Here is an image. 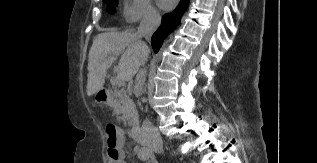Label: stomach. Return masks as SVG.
Here are the masks:
<instances>
[{
    "mask_svg": "<svg viewBox=\"0 0 317 163\" xmlns=\"http://www.w3.org/2000/svg\"><path fill=\"white\" fill-rule=\"evenodd\" d=\"M107 101L106 93L103 91H98L94 94V102L97 104H105Z\"/></svg>",
    "mask_w": 317,
    "mask_h": 163,
    "instance_id": "0dacf381",
    "label": "stomach"
}]
</instances>
